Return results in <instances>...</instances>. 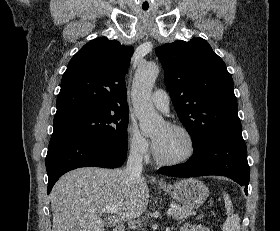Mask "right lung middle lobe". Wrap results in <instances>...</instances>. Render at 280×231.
Masks as SVG:
<instances>
[{"instance_id":"1","label":"right lung middle lobe","mask_w":280,"mask_h":231,"mask_svg":"<svg viewBox=\"0 0 280 231\" xmlns=\"http://www.w3.org/2000/svg\"><path fill=\"white\" fill-rule=\"evenodd\" d=\"M129 111L107 112L53 122V134H74L101 142L127 144Z\"/></svg>"}]
</instances>
